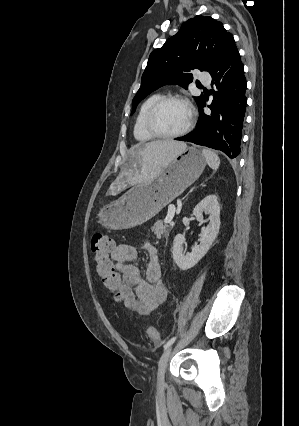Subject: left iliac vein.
<instances>
[{"label":"left iliac vein","instance_id":"1","mask_svg":"<svg viewBox=\"0 0 299 426\" xmlns=\"http://www.w3.org/2000/svg\"><path fill=\"white\" fill-rule=\"evenodd\" d=\"M171 351H172V346H170L169 348L165 350V352L163 353L159 361V368H158V374H157L159 387H162L164 385L165 371H166L169 357L171 355Z\"/></svg>","mask_w":299,"mask_h":426}]
</instances>
